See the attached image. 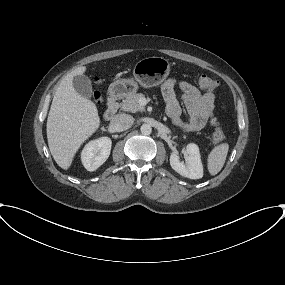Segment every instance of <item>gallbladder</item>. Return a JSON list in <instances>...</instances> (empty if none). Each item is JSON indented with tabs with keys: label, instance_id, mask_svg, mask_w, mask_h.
<instances>
[{
	"label": "gallbladder",
	"instance_id": "bac80fb5",
	"mask_svg": "<svg viewBox=\"0 0 285 285\" xmlns=\"http://www.w3.org/2000/svg\"><path fill=\"white\" fill-rule=\"evenodd\" d=\"M73 86L77 93L85 98L92 95L91 80L86 75H76L73 78Z\"/></svg>",
	"mask_w": 285,
	"mask_h": 285
}]
</instances>
